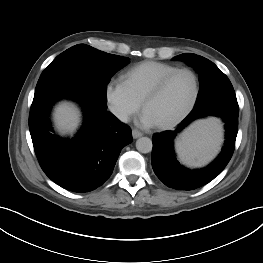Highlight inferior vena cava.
I'll return each instance as SVG.
<instances>
[{
	"label": "inferior vena cava",
	"mask_w": 263,
	"mask_h": 263,
	"mask_svg": "<svg viewBox=\"0 0 263 263\" xmlns=\"http://www.w3.org/2000/svg\"><path fill=\"white\" fill-rule=\"evenodd\" d=\"M115 115L122 122H128V120H129L128 114L126 112H124V111H116Z\"/></svg>",
	"instance_id": "obj_1"
}]
</instances>
